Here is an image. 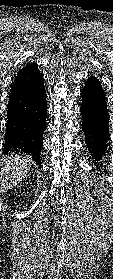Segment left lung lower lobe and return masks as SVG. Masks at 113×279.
Wrapping results in <instances>:
<instances>
[{
  "label": "left lung lower lobe",
  "mask_w": 113,
  "mask_h": 279,
  "mask_svg": "<svg viewBox=\"0 0 113 279\" xmlns=\"http://www.w3.org/2000/svg\"><path fill=\"white\" fill-rule=\"evenodd\" d=\"M82 130L90 155L100 160L106 153L109 138V116L105 92L96 77L88 78L81 91Z\"/></svg>",
  "instance_id": "0a47b994"
}]
</instances>
